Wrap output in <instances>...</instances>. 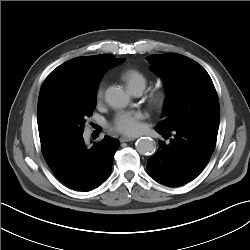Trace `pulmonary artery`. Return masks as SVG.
<instances>
[{"label":"pulmonary artery","instance_id":"obj_1","mask_svg":"<svg viewBox=\"0 0 250 250\" xmlns=\"http://www.w3.org/2000/svg\"><path fill=\"white\" fill-rule=\"evenodd\" d=\"M131 91H132V93H133L134 95L139 96V95L142 94L143 89H142V88H135V89H132Z\"/></svg>","mask_w":250,"mask_h":250}]
</instances>
